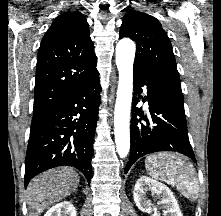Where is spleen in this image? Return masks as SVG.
<instances>
[{"instance_id":"spleen-1","label":"spleen","mask_w":221,"mask_h":216,"mask_svg":"<svg viewBox=\"0 0 221 216\" xmlns=\"http://www.w3.org/2000/svg\"><path fill=\"white\" fill-rule=\"evenodd\" d=\"M145 168L150 176L176 186L187 198H195L199 193L195 168L184 156L171 153L149 155Z\"/></svg>"}]
</instances>
